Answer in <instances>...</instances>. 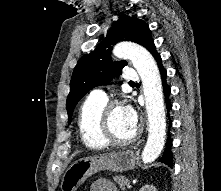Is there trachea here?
<instances>
[{
    "label": "trachea",
    "instance_id": "trachea-1",
    "mask_svg": "<svg viewBox=\"0 0 221 191\" xmlns=\"http://www.w3.org/2000/svg\"><path fill=\"white\" fill-rule=\"evenodd\" d=\"M130 84H135L134 82H130Z\"/></svg>",
    "mask_w": 221,
    "mask_h": 191
}]
</instances>
